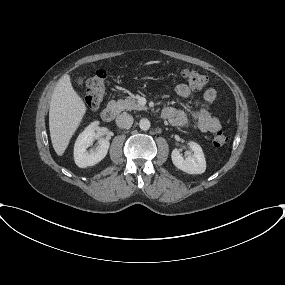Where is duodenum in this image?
Returning a JSON list of instances; mask_svg holds the SVG:
<instances>
[{"instance_id": "410a0bca", "label": "duodenum", "mask_w": 285, "mask_h": 285, "mask_svg": "<svg viewBox=\"0 0 285 285\" xmlns=\"http://www.w3.org/2000/svg\"><path fill=\"white\" fill-rule=\"evenodd\" d=\"M118 113V108L116 105L110 104L107 105L102 111H101V118L105 122L112 121L115 116Z\"/></svg>"}]
</instances>
